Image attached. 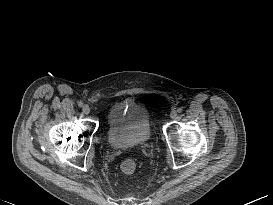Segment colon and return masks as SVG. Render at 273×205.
Here are the masks:
<instances>
[{"mask_svg":"<svg viewBox=\"0 0 273 205\" xmlns=\"http://www.w3.org/2000/svg\"><path fill=\"white\" fill-rule=\"evenodd\" d=\"M121 169L125 174H132L136 169V163L131 159H127L122 163Z\"/></svg>","mask_w":273,"mask_h":205,"instance_id":"colon-1","label":"colon"}]
</instances>
